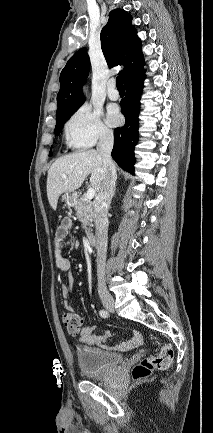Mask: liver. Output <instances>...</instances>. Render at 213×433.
Wrapping results in <instances>:
<instances>
[{"label": "liver", "instance_id": "1", "mask_svg": "<svg viewBox=\"0 0 213 433\" xmlns=\"http://www.w3.org/2000/svg\"><path fill=\"white\" fill-rule=\"evenodd\" d=\"M89 174L92 188L99 193L104 174L103 160L94 149L77 151L57 159L51 165L47 176L50 206L56 209L59 196L78 189ZM62 175H66V178Z\"/></svg>", "mask_w": 213, "mask_h": 433}]
</instances>
